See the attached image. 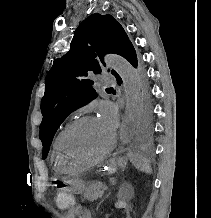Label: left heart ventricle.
<instances>
[{
	"label": "left heart ventricle",
	"mask_w": 211,
	"mask_h": 218,
	"mask_svg": "<svg viewBox=\"0 0 211 218\" xmlns=\"http://www.w3.org/2000/svg\"><path fill=\"white\" fill-rule=\"evenodd\" d=\"M112 137L113 132L98 118L86 121L70 134L65 147L66 158L73 161L93 159L110 146Z\"/></svg>",
	"instance_id": "b2bd125f"
}]
</instances>
